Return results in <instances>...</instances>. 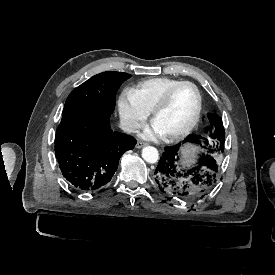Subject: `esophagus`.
Masks as SVG:
<instances>
[{"mask_svg":"<svg viewBox=\"0 0 275 275\" xmlns=\"http://www.w3.org/2000/svg\"><path fill=\"white\" fill-rule=\"evenodd\" d=\"M146 145H147V143H145V142H137L136 148H142V147H144Z\"/></svg>","mask_w":275,"mask_h":275,"instance_id":"1","label":"esophagus"}]
</instances>
